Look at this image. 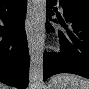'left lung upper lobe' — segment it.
Masks as SVG:
<instances>
[{"label": "left lung upper lobe", "instance_id": "obj_1", "mask_svg": "<svg viewBox=\"0 0 89 89\" xmlns=\"http://www.w3.org/2000/svg\"><path fill=\"white\" fill-rule=\"evenodd\" d=\"M74 2H78V3H84V4H89V0H71Z\"/></svg>", "mask_w": 89, "mask_h": 89}]
</instances>
